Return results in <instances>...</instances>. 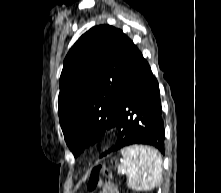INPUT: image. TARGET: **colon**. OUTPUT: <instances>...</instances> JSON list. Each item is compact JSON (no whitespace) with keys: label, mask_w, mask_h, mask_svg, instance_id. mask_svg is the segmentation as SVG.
Returning a JSON list of instances; mask_svg holds the SVG:
<instances>
[{"label":"colon","mask_w":221,"mask_h":193,"mask_svg":"<svg viewBox=\"0 0 221 193\" xmlns=\"http://www.w3.org/2000/svg\"><path fill=\"white\" fill-rule=\"evenodd\" d=\"M102 176H106L108 178L111 177L110 172L104 166L97 165L91 170L86 183L87 189L90 192H94L100 188Z\"/></svg>","instance_id":"obj_1"}]
</instances>
